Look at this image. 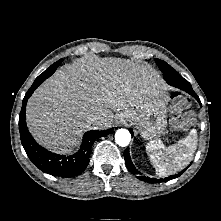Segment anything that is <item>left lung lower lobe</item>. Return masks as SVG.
Returning <instances> with one entry per match:
<instances>
[{"label": "left lung lower lobe", "instance_id": "left-lung-lower-lobe-1", "mask_svg": "<svg viewBox=\"0 0 221 221\" xmlns=\"http://www.w3.org/2000/svg\"><path fill=\"white\" fill-rule=\"evenodd\" d=\"M169 85L171 86H174L176 88H179L187 93H189L191 96H193L201 105V102H200V99L199 97L197 96V94L194 92V90L192 89L190 83L184 79V78H181L180 80L178 81H174V82H171V83H168ZM131 131V130H130ZM132 135H133V132L131 131ZM124 158H125V163L128 167V169L130 170V172L132 174H140L139 171L135 168V166L133 165L132 161H131V158H130V155H129V148H127L125 151H124ZM186 169H184L182 172H180L179 174L177 175H174V176H170L169 178H165V179H151L149 177H145V176H139L138 178L142 181H145V182H150V183H159V182H162V181H168V180H171V179H174V178H177L178 176H180Z\"/></svg>", "mask_w": 221, "mask_h": 221}]
</instances>
